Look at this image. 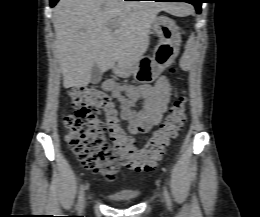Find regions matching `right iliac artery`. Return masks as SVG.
Returning <instances> with one entry per match:
<instances>
[{
	"label": "right iliac artery",
	"instance_id": "1",
	"mask_svg": "<svg viewBox=\"0 0 260 217\" xmlns=\"http://www.w3.org/2000/svg\"><path fill=\"white\" fill-rule=\"evenodd\" d=\"M84 190H85L84 185H81L80 189H79L77 204H76V210L77 211H80V209H81L83 196H84Z\"/></svg>",
	"mask_w": 260,
	"mask_h": 217
}]
</instances>
